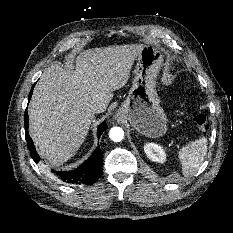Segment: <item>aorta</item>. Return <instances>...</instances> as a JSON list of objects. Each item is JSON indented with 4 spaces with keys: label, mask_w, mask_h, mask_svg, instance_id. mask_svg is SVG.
I'll use <instances>...</instances> for the list:
<instances>
[{
    "label": "aorta",
    "mask_w": 233,
    "mask_h": 233,
    "mask_svg": "<svg viewBox=\"0 0 233 233\" xmlns=\"http://www.w3.org/2000/svg\"><path fill=\"white\" fill-rule=\"evenodd\" d=\"M109 137L114 142H120L124 138V131L120 127H113L109 132Z\"/></svg>",
    "instance_id": "762f6f07"
}]
</instances>
